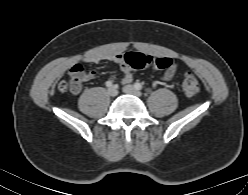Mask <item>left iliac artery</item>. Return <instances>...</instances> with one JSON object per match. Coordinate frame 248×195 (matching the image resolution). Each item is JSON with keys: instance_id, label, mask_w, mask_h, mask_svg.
Masks as SVG:
<instances>
[{"instance_id": "44dca946", "label": "left iliac artery", "mask_w": 248, "mask_h": 195, "mask_svg": "<svg viewBox=\"0 0 248 195\" xmlns=\"http://www.w3.org/2000/svg\"><path fill=\"white\" fill-rule=\"evenodd\" d=\"M134 87L137 89V90H141L143 88V86L140 84V83H135L134 84Z\"/></svg>"}]
</instances>
